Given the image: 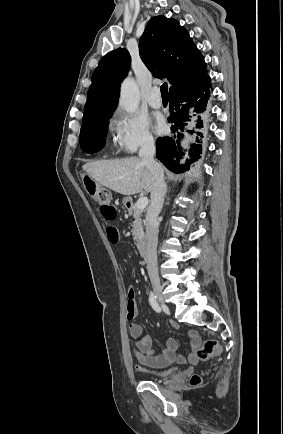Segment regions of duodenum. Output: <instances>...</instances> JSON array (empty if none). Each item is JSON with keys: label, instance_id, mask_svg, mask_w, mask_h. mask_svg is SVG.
I'll return each instance as SVG.
<instances>
[{"label": "duodenum", "instance_id": "1", "mask_svg": "<svg viewBox=\"0 0 283 434\" xmlns=\"http://www.w3.org/2000/svg\"><path fill=\"white\" fill-rule=\"evenodd\" d=\"M126 204H127V206H128L129 208H131V207L133 206V203H132V201H131L130 199H128V200L126 201ZM138 248H139L140 253H141L143 256H146V255H147V253H148V239H147L146 236H143V237L139 240V242H138Z\"/></svg>", "mask_w": 283, "mask_h": 434}]
</instances>
